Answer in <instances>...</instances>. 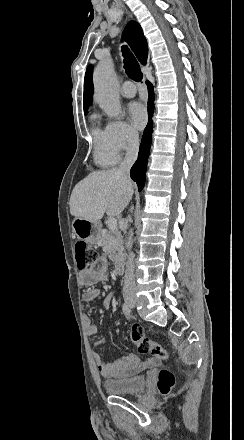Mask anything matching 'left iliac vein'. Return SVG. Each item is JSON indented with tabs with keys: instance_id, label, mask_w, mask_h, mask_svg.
<instances>
[{
	"instance_id": "left-iliac-vein-1",
	"label": "left iliac vein",
	"mask_w": 244,
	"mask_h": 440,
	"mask_svg": "<svg viewBox=\"0 0 244 440\" xmlns=\"http://www.w3.org/2000/svg\"><path fill=\"white\" fill-rule=\"evenodd\" d=\"M131 306H132V307L135 306V299H133V302H132Z\"/></svg>"
}]
</instances>
